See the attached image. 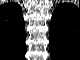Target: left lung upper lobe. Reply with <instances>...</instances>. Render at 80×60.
<instances>
[{"mask_svg":"<svg viewBox=\"0 0 80 60\" xmlns=\"http://www.w3.org/2000/svg\"><path fill=\"white\" fill-rule=\"evenodd\" d=\"M76 6L70 3L59 5L51 18L49 49L59 59L65 57L68 48L76 44L79 46L80 36L74 31V14Z\"/></svg>","mask_w":80,"mask_h":60,"instance_id":"1","label":"left lung upper lobe"}]
</instances>
